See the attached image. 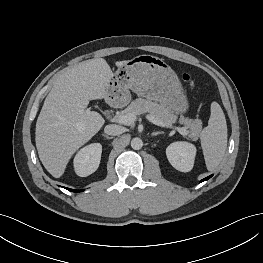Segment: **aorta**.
Returning <instances> with one entry per match:
<instances>
[{"label":"aorta","mask_w":263,"mask_h":263,"mask_svg":"<svg viewBox=\"0 0 263 263\" xmlns=\"http://www.w3.org/2000/svg\"><path fill=\"white\" fill-rule=\"evenodd\" d=\"M142 146H143V141L140 138L136 137L131 140V147L134 150H139L142 148Z\"/></svg>","instance_id":"aorta-1"}]
</instances>
